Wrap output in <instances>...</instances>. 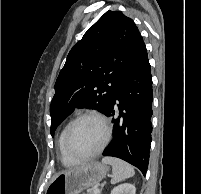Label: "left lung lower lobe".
<instances>
[{
    "label": "left lung lower lobe",
    "instance_id": "left-lung-lower-lobe-1",
    "mask_svg": "<svg viewBox=\"0 0 201 194\" xmlns=\"http://www.w3.org/2000/svg\"><path fill=\"white\" fill-rule=\"evenodd\" d=\"M152 101L151 67L143 43L105 113L113 118V140L103 153L127 161L143 175L147 172L152 141Z\"/></svg>",
    "mask_w": 201,
    "mask_h": 194
}]
</instances>
